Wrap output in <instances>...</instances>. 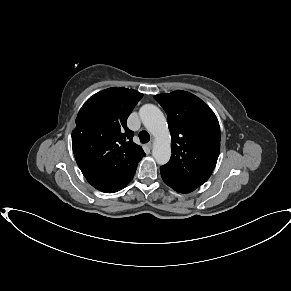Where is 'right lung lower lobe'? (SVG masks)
<instances>
[{
    "label": "right lung lower lobe",
    "instance_id": "obj_1",
    "mask_svg": "<svg viewBox=\"0 0 291 291\" xmlns=\"http://www.w3.org/2000/svg\"><path fill=\"white\" fill-rule=\"evenodd\" d=\"M137 165L119 176L91 178L88 182L96 189L105 193H114L123 189L133 178Z\"/></svg>",
    "mask_w": 291,
    "mask_h": 291
}]
</instances>
